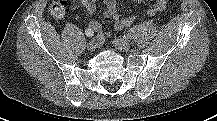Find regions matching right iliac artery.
Returning a JSON list of instances; mask_svg holds the SVG:
<instances>
[{"label":"right iliac artery","mask_w":217,"mask_h":121,"mask_svg":"<svg viewBox=\"0 0 217 121\" xmlns=\"http://www.w3.org/2000/svg\"><path fill=\"white\" fill-rule=\"evenodd\" d=\"M94 40H97L98 42H101V40H100V38H99L98 36H97L96 39H94ZM94 40H93V41H94Z\"/></svg>","instance_id":"right-iliac-artery-1"}]
</instances>
